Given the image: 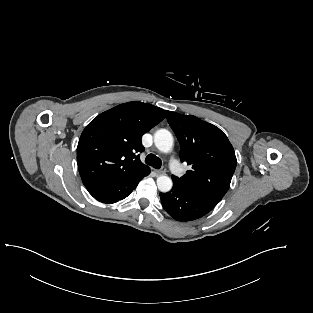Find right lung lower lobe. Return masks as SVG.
<instances>
[{
	"label": "right lung lower lobe",
	"instance_id": "98d812e1",
	"mask_svg": "<svg viewBox=\"0 0 313 313\" xmlns=\"http://www.w3.org/2000/svg\"><path fill=\"white\" fill-rule=\"evenodd\" d=\"M150 169L126 178L121 181L103 184L87 188L88 192L103 203H115L126 198L138 185L145 176L149 175Z\"/></svg>",
	"mask_w": 313,
	"mask_h": 313
}]
</instances>
